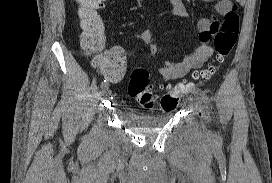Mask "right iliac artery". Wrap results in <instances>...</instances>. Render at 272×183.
Returning <instances> with one entry per match:
<instances>
[{"label":"right iliac artery","instance_id":"1","mask_svg":"<svg viewBox=\"0 0 272 183\" xmlns=\"http://www.w3.org/2000/svg\"><path fill=\"white\" fill-rule=\"evenodd\" d=\"M109 86V83H108V80H104L102 83H101V88L103 89V88H106V87H108Z\"/></svg>","mask_w":272,"mask_h":183}]
</instances>
